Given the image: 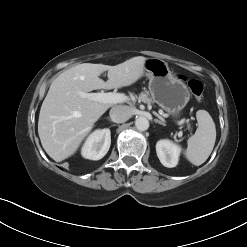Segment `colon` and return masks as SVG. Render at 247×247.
<instances>
[{
	"mask_svg": "<svg viewBox=\"0 0 247 247\" xmlns=\"http://www.w3.org/2000/svg\"><path fill=\"white\" fill-rule=\"evenodd\" d=\"M188 88L191 93L196 97L197 100H201L203 98V84L199 80L190 79L188 80Z\"/></svg>",
	"mask_w": 247,
	"mask_h": 247,
	"instance_id": "obj_1",
	"label": "colon"
}]
</instances>
